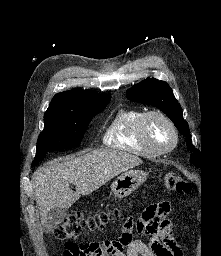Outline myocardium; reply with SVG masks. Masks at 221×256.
<instances>
[{"label":"myocardium","instance_id":"obj_1","mask_svg":"<svg viewBox=\"0 0 221 256\" xmlns=\"http://www.w3.org/2000/svg\"><path fill=\"white\" fill-rule=\"evenodd\" d=\"M151 117H158V118L162 119L170 127L172 134H173V142L170 146H168L166 148H157L148 139L147 134H146V124H147V121ZM137 135H138L140 142L144 146H146L154 154H158V155H163V154L169 153L177 146L178 141H179L178 130H177L174 122L172 121V119L169 116H167L165 113H163L162 111H159V110H150V111L144 112L142 114V116L139 119V123H138Z\"/></svg>","mask_w":221,"mask_h":256}]
</instances>
